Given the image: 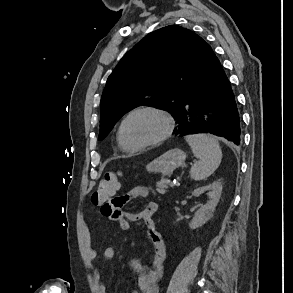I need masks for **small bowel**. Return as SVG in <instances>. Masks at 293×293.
Returning <instances> with one entry per match:
<instances>
[{
  "mask_svg": "<svg viewBox=\"0 0 293 293\" xmlns=\"http://www.w3.org/2000/svg\"><path fill=\"white\" fill-rule=\"evenodd\" d=\"M149 190L143 186L134 187L129 192L116 196V203L106 204L101 207L102 213L110 220L119 223L120 229L124 232L129 230L131 222L142 221L147 227V234L152 242L153 257L149 263H142L139 259L133 258L130 265L133 270L139 273L138 291L132 293H159L158 282L162 277L164 262L166 259V248L164 238L159 232L154 215L158 211L156 202L148 203L140 212L131 213L123 210V207L134 198H147ZM83 240L85 247V255L89 262H93L97 257V251L92 245V235L88 225L83 227ZM115 256V248L107 246L103 250L105 259H112ZM95 279H100L99 274L95 275ZM98 288L102 292H106V285L99 284Z\"/></svg>",
  "mask_w": 293,
  "mask_h": 293,
  "instance_id": "1",
  "label": "small bowel"
}]
</instances>
